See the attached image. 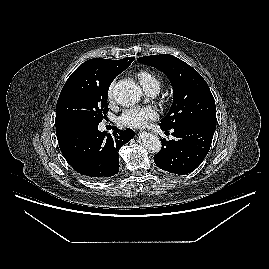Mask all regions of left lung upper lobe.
Wrapping results in <instances>:
<instances>
[{
	"label": "left lung upper lobe",
	"instance_id": "obj_1",
	"mask_svg": "<svg viewBox=\"0 0 269 269\" xmlns=\"http://www.w3.org/2000/svg\"><path fill=\"white\" fill-rule=\"evenodd\" d=\"M137 60L160 69L172 84L173 103L168 114L160 121L162 128L170 130L195 123L216 125L213 95L194 68L170 54L150 55Z\"/></svg>",
	"mask_w": 269,
	"mask_h": 269
}]
</instances>
